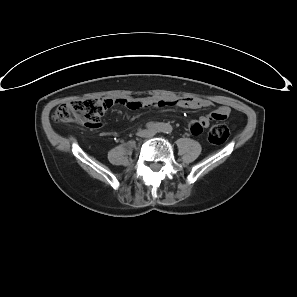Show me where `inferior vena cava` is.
Returning a JSON list of instances; mask_svg holds the SVG:
<instances>
[{
  "label": "inferior vena cava",
  "mask_w": 297,
  "mask_h": 297,
  "mask_svg": "<svg viewBox=\"0 0 297 297\" xmlns=\"http://www.w3.org/2000/svg\"><path fill=\"white\" fill-rule=\"evenodd\" d=\"M155 135V131H150V136H154Z\"/></svg>",
  "instance_id": "inferior-vena-cava-1"
}]
</instances>
